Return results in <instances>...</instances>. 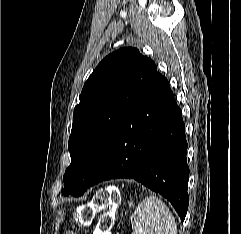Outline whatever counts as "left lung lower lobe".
<instances>
[{
  "label": "left lung lower lobe",
  "mask_w": 241,
  "mask_h": 234,
  "mask_svg": "<svg viewBox=\"0 0 241 234\" xmlns=\"http://www.w3.org/2000/svg\"><path fill=\"white\" fill-rule=\"evenodd\" d=\"M185 125L167 79L156 72L130 110L88 187L130 178L167 198L181 221L188 209Z\"/></svg>",
  "instance_id": "left-lung-lower-lobe-1"
}]
</instances>
